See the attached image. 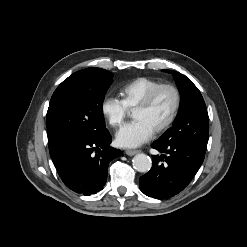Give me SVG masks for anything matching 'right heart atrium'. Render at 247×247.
I'll use <instances>...</instances> for the list:
<instances>
[{
    "mask_svg": "<svg viewBox=\"0 0 247 247\" xmlns=\"http://www.w3.org/2000/svg\"><path fill=\"white\" fill-rule=\"evenodd\" d=\"M101 113L110 126L117 127L125 119L128 109L122 100L114 96H105L100 105Z\"/></svg>",
    "mask_w": 247,
    "mask_h": 247,
    "instance_id": "1",
    "label": "right heart atrium"
}]
</instances>
